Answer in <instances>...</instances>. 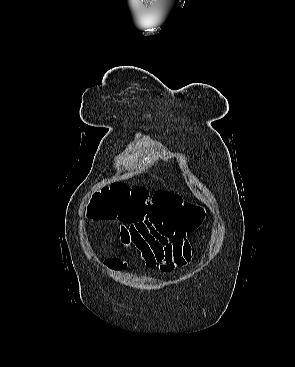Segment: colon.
Listing matches in <instances>:
<instances>
[{
	"label": "colon",
	"mask_w": 295,
	"mask_h": 367,
	"mask_svg": "<svg viewBox=\"0 0 295 367\" xmlns=\"http://www.w3.org/2000/svg\"><path fill=\"white\" fill-rule=\"evenodd\" d=\"M92 219H117L121 222L167 221L185 231L198 228L203 219L201 207L165 191L151 197L143 187L116 183L98 192L88 211Z\"/></svg>",
	"instance_id": "1"
}]
</instances>
